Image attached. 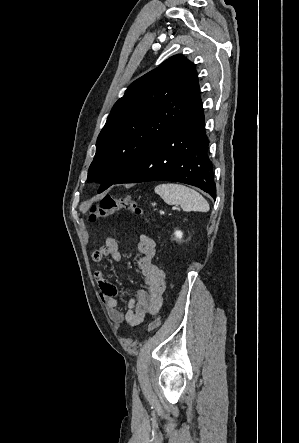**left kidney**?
<instances>
[{
  "label": "left kidney",
  "instance_id": "left-kidney-1",
  "mask_svg": "<svg viewBox=\"0 0 299 443\" xmlns=\"http://www.w3.org/2000/svg\"><path fill=\"white\" fill-rule=\"evenodd\" d=\"M176 240H181L183 237V232H181L180 230H176L174 233Z\"/></svg>",
  "mask_w": 299,
  "mask_h": 443
}]
</instances>
